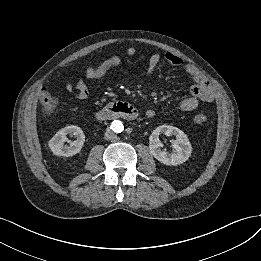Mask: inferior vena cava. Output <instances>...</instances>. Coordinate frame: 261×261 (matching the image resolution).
<instances>
[{
	"instance_id": "1",
	"label": "inferior vena cava",
	"mask_w": 261,
	"mask_h": 261,
	"mask_svg": "<svg viewBox=\"0 0 261 261\" xmlns=\"http://www.w3.org/2000/svg\"><path fill=\"white\" fill-rule=\"evenodd\" d=\"M104 138H105L106 140H111V139H114V138H115V135H114V133H113V131H112L111 129L107 128V129H106V132H105V134H104Z\"/></svg>"
}]
</instances>
